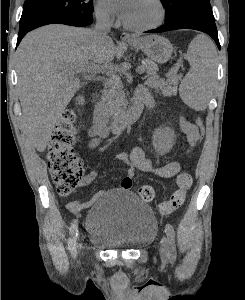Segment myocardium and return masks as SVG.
<instances>
[{"label": "myocardium", "mask_w": 245, "mask_h": 300, "mask_svg": "<svg viewBox=\"0 0 245 300\" xmlns=\"http://www.w3.org/2000/svg\"><path fill=\"white\" fill-rule=\"evenodd\" d=\"M153 2L159 10V17L156 22L150 25L138 26L129 24L122 18L124 27L135 32H146L160 27L165 21L166 10L161 0H153Z\"/></svg>", "instance_id": "1"}]
</instances>
